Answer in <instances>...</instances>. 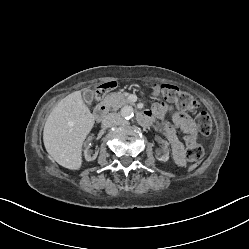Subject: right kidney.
<instances>
[{"label":"right kidney","instance_id":"right-kidney-1","mask_svg":"<svg viewBox=\"0 0 249 249\" xmlns=\"http://www.w3.org/2000/svg\"><path fill=\"white\" fill-rule=\"evenodd\" d=\"M88 140L90 142H95L97 140V135L95 133H90L88 135ZM89 141H84L82 143V149L85 151L84 152L85 159L87 161H93L96 159L98 153H95L93 156H91V154H89L95 150V145L93 143H90Z\"/></svg>","mask_w":249,"mask_h":249}]
</instances>
